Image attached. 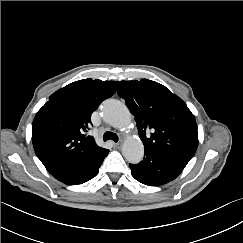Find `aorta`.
<instances>
[{
    "mask_svg": "<svg viewBox=\"0 0 243 243\" xmlns=\"http://www.w3.org/2000/svg\"><path fill=\"white\" fill-rule=\"evenodd\" d=\"M103 119L119 130L125 137L122 154L129 163L137 164L144 156L142 141L132 135L131 113L127 106L118 100H107L102 106Z\"/></svg>",
    "mask_w": 243,
    "mask_h": 243,
    "instance_id": "obj_1",
    "label": "aorta"
}]
</instances>
